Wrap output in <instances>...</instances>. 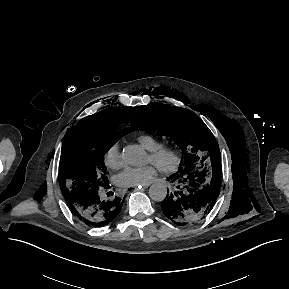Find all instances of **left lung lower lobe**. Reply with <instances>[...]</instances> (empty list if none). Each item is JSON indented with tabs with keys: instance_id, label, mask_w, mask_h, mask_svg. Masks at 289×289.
<instances>
[{
	"instance_id": "obj_1",
	"label": "left lung lower lobe",
	"mask_w": 289,
	"mask_h": 289,
	"mask_svg": "<svg viewBox=\"0 0 289 289\" xmlns=\"http://www.w3.org/2000/svg\"><path fill=\"white\" fill-rule=\"evenodd\" d=\"M177 190L162 201L164 215L177 225H192L212 210L220 190V174L206 177L201 172L183 178H171Z\"/></svg>"
}]
</instances>
